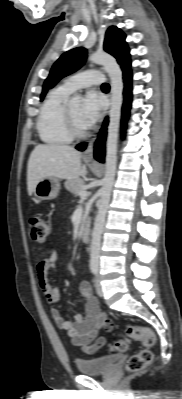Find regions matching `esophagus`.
Masks as SVG:
<instances>
[{
  "label": "esophagus",
  "instance_id": "34e87169",
  "mask_svg": "<svg viewBox=\"0 0 182 399\" xmlns=\"http://www.w3.org/2000/svg\"><path fill=\"white\" fill-rule=\"evenodd\" d=\"M96 140H97V135H95L93 138H91L88 141V146H87V148H86V150L84 152V158L85 159L93 158L94 144H95Z\"/></svg>",
  "mask_w": 182,
  "mask_h": 399
}]
</instances>
